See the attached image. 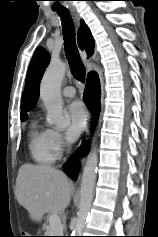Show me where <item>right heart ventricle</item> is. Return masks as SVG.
<instances>
[{"label":"right heart ventricle","instance_id":"obj_1","mask_svg":"<svg viewBox=\"0 0 158 237\" xmlns=\"http://www.w3.org/2000/svg\"><path fill=\"white\" fill-rule=\"evenodd\" d=\"M28 147L33 160L39 164H52L57 155L52 149L50 129L41 126L37 121L30 124Z\"/></svg>","mask_w":158,"mask_h":237}]
</instances>
